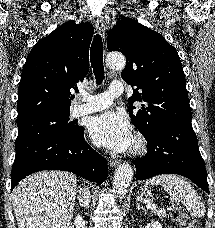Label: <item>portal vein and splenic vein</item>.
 I'll use <instances>...</instances> for the list:
<instances>
[{
    "instance_id": "1",
    "label": "portal vein and splenic vein",
    "mask_w": 215,
    "mask_h": 228,
    "mask_svg": "<svg viewBox=\"0 0 215 228\" xmlns=\"http://www.w3.org/2000/svg\"><path fill=\"white\" fill-rule=\"evenodd\" d=\"M146 208H147V210H155V208H157V206H156V204H150V202H149V204H147Z\"/></svg>"
}]
</instances>
